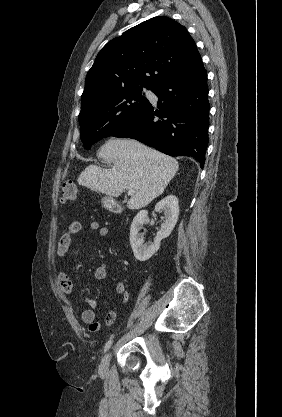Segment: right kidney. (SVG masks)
<instances>
[{
	"label": "right kidney",
	"mask_w": 282,
	"mask_h": 417,
	"mask_svg": "<svg viewBox=\"0 0 282 417\" xmlns=\"http://www.w3.org/2000/svg\"><path fill=\"white\" fill-rule=\"evenodd\" d=\"M155 211H164L165 221L162 223L160 231H158L153 243H150V245H143L145 237L143 233H139L148 215V211H139L132 221L130 245L137 261H148V259H151L154 253L160 249L162 239H166V237L171 235L179 217L178 198H176L175 194H168V196H165V198L157 202Z\"/></svg>",
	"instance_id": "obj_1"
}]
</instances>
